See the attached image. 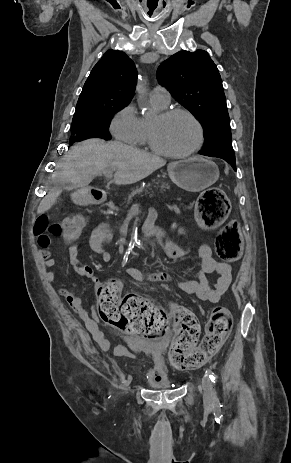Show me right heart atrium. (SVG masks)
<instances>
[{
  "label": "right heart atrium",
  "instance_id": "right-heart-atrium-1",
  "mask_svg": "<svg viewBox=\"0 0 291 463\" xmlns=\"http://www.w3.org/2000/svg\"><path fill=\"white\" fill-rule=\"evenodd\" d=\"M110 130L113 136L123 143L130 145L138 143L141 120L132 104L124 106L115 113L110 123Z\"/></svg>",
  "mask_w": 291,
  "mask_h": 463
}]
</instances>
